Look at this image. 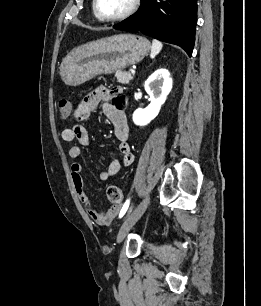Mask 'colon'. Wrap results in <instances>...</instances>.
I'll list each match as a JSON object with an SVG mask.
<instances>
[{"mask_svg":"<svg viewBox=\"0 0 261 306\" xmlns=\"http://www.w3.org/2000/svg\"><path fill=\"white\" fill-rule=\"evenodd\" d=\"M70 102L67 99H60L57 103L58 116L61 120H65L70 113ZM107 197L113 203H120L123 200L122 190L116 186L107 188Z\"/></svg>","mask_w":261,"mask_h":306,"instance_id":"1","label":"colon"}]
</instances>
